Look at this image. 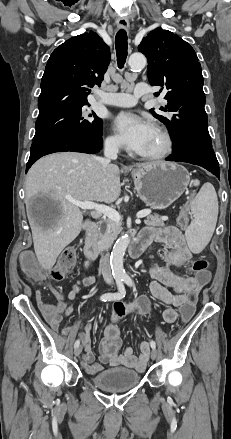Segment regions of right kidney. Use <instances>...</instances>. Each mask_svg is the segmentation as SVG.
<instances>
[{
  "label": "right kidney",
  "instance_id": "1",
  "mask_svg": "<svg viewBox=\"0 0 231 439\" xmlns=\"http://www.w3.org/2000/svg\"><path fill=\"white\" fill-rule=\"evenodd\" d=\"M88 265H89V263H88V262H85V266L88 267Z\"/></svg>",
  "mask_w": 231,
  "mask_h": 439
}]
</instances>
